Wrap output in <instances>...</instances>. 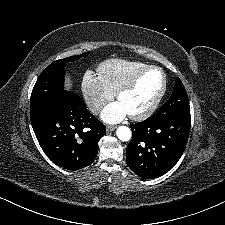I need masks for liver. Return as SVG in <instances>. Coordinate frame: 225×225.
<instances>
[{
	"label": "liver",
	"mask_w": 225,
	"mask_h": 225,
	"mask_svg": "<svg viewBox=\"0 0 225 225\" xmlns=\"http://www.w3.org/2000/svg\"><path fill=\"white\" fill-rule=\"evenodd\" d=\"M65 87L67 90H71L73 87L72 80L69 75L66 78Z\"/></svg>",
	"instance_id": "obj_1"
}]
</instances>
